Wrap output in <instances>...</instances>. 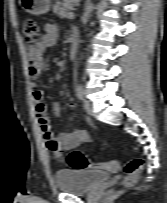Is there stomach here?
Here are the masks:
<instances>
[{
    "mask_svg": "<svg viewBox=\"0 0 167 203\" xmlns=\"http://www.w3.org/2000/svg\"><path fill=\"white\" fill-rule=\"evenodd\" d=\"M23 9L31 14L40 15L47 13L51 6L50 0H20Z\"/></svg>",
    "mask_w": 167,
    "mask_h": 203,
    "instance_id": "0dacf381",
    "label": "stomach"
}]
</instances>
